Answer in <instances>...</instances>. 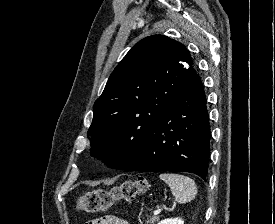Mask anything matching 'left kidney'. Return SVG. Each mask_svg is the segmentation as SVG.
Wrapping results in <instances>:
<instances>
[{
	"label": "left kidney",
	"instance_id": "left-kidney-1",
	"mask_svg": "<svg viewBox=\"0 0 275 224\" xmlns=\"http://www.w3.org/2000/svg\"><path fill=\"white\" fill-rule=\"evenodd\" d=\"M158 224H184V221L178 218L164 219V220H161Z\"/></svg>",
	"mask_w": 275,
	"mask_h": 224
}]
</instances>
